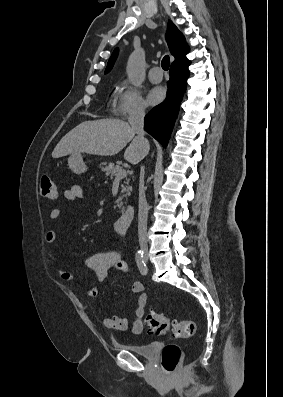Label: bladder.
I'll return each mask as SVG.
<instances>
[{"label":"bladder","instance_id":"bladder-1","mask_svg":"<svg viewBox=\"0 0 283 397\" xmlns=\"http://www.w3.org/2000/svg\"><path fill=\"white\" fill-rule=\"evenodd\" d=\"M158 347V342H150L143 345H121V348L147 359L155 356Z\"/></svg>","mask_w":283,"mask_h":397}]
</instances>
